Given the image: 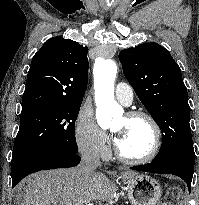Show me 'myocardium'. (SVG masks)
<instances>
[{
	"label": "myocardium",
	"instance_id": "obj_1",
	"mask_svg": "<svg viewBox=\"0 0 199 205\" xmlns=\"http://www.w3.org/2000/svg\"><path fill=\"white\" fill-rule=\"evenodd\" d=\"M127 118H142L145 119L151 127L153 134V141L150 150L147 154L140 157H130L124 154L119 147L117 141L114 142V150L117 158L127 164H145L152 161L160 151L162 145V130L158 121L147 111L143 110H131L125 113Z\"/></svg>",
	"mask_w": 199,
	"mask_h": 205
}]
</instances>
